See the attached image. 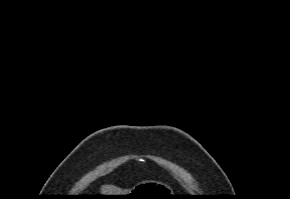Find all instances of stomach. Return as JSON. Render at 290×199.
<instances>
[{
	"instance_id": "1",
	"label": "stomach",
	"mask_w": 290,
	"mask_h": 199,
	"mask_svg": "<svg viewBox=\"0 0 290 199\" xmlns=\"http://www.w3.org/2000/svg\"><path fill=\"white\" fill-rule=\"evenodd\" d=\"M163 187L160 183L158 182H153V181H149V182H144L142 184H140L137 188L133 189L131 192H129L128 194H124V195H129L126 198H133L134 196H154L156 195L157 191ZM163 189H166V186H164Z\"/></svg>"
}]
</instances>
